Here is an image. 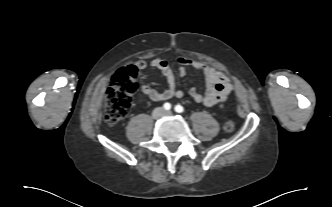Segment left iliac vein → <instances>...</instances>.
I'll use <instances>...</instances> for the list:
<instances>
[{
  "mask_svg": "<svg viewBox=\"0 0 332 207\" xmlns=\"http://www.w3.org/2000/svg\"><path fill=\"white\" fill-rule=\"evenodd\" d=\"M166 114H167V115H171L172 112H171V111H167Z\"/></svg>",
  "mask_w": 332,
  "mask_h": 207,
  "instance_id": "obj_1",
  "label": "left iliac vein"
}]
</instances>
